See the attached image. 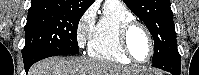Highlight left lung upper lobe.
<instances>
[{
  "label": "left lung upper lobe",
  "instance_id": "left-lung-upper-lobe-1",
  "mask_svg": "<svg viewBox=\"0 0 199 75\" xmlns=\"http://www.w3.org/2000/svg\"><path fill=\"white\" fill-rule=\"evenodd\" d=\"M147 26L154 39L152 64L178 53L170 0H123Z\"/></svg>",
  "mask_w": 199,
  "mask_h": 75
}]
</instances>
